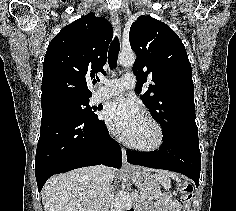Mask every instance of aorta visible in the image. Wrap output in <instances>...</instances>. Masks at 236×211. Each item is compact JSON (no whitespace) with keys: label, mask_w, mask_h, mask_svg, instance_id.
I'll return each mask as SVG.
<instances>
[{"label":"aorta","mask_w":236,"mask_h":211,"mask_svg":"<svg viewBox=\"0 0 236 211\" xmlns=\"http://www.w3.org/2000/svg\"><path fill=\"white\" fill-rule=\"evenodd\" d=\"M135 59L136 55L133 52H121L118 57V63L122 66H132ZM110 211H122V203L118 196L113 199Z\"/></svg>","instance_id":"762f6f07"}]
</instances>
